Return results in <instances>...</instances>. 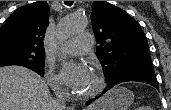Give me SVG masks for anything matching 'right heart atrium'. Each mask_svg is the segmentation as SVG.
Masks as SVG:
<instances>
[{
	"label": "right heart atrium",
	"instance_id": "d8ad5b80",
	"mask_svg": "<svg viewBox=\"0 0 171 110\" xmlns=\"http://www.w3.org/2000/svg\"><path fill=\"white\" fill-rule=\"evenodd\" d=\"M46 80L55 93L63 92L60 78L50 66L46 70Z\"/></svg>",
	"mask_w": 171,
	"mask_h": 110
}]
</instances>
